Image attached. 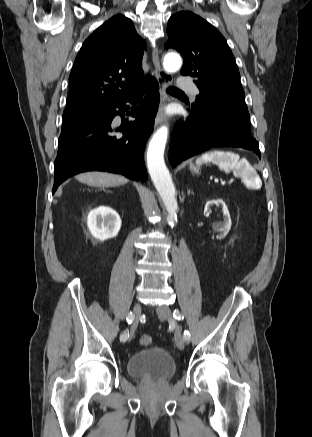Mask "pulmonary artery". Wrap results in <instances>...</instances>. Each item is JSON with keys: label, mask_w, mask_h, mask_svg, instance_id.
I'll list each match as a JSON object with an SVG mask.
<instances>
[{"label": "pulmonary artery", "mask_w": 312, "mask_h": 437, "mask_svg": "<svg viewBox=\"0 0 312 437\" xmlns=\"http://www.w3.org/2000/svg\"><path fill=\"white\" fill-rule=\"evenodd\" d=\"M177 85L182 89L189 90L194 95L199 93L197 88L194 87L193 83L185 76H180L178 78Z\"/></svg>", "instance_id": "1"}]
</instances>
